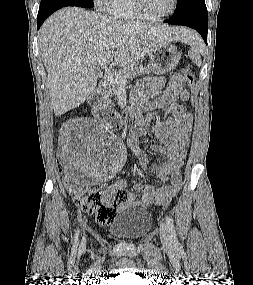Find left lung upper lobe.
<instances>
[{
  "mask_svg": "<svg viewBox=\"0 0 253 285\" xmlns=\"http://www.w3.org/2000/svg\"><path fill=\"white\" fill-rule=\"evenodd\" d=\"M188 1H190V0H178V2H177V10L179 9V8H181L185 3H187Z\"/></svg>",
  "mask_w": 253,
  "mask_h": 285,
  "instance_id": "obj_1",
  "label": "left lung upper lobe"
}]
</instances>
